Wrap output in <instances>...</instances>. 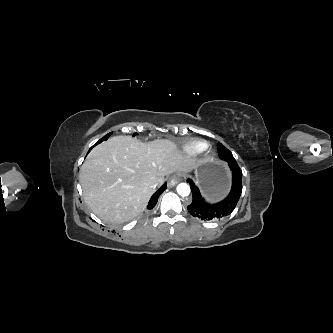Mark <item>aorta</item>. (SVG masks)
Instances as JSON below:
<instances>
[{
    "mask_svg": "<svg viewBox=\"0 0 333 333\" xmlns=\"http://www.w3.org/2000/svg\"><path fill=\"white\" fill-rule=\"evenodd\" d=\"M177 192L180 196H188L190 194V187L186 183H180L177 186Z\"/></svg>",
    "mask_w": 333,
    "mask_h": 333,
    "instance_id": "aorta-1",
    "label": "aorta"
}]
</instances>
